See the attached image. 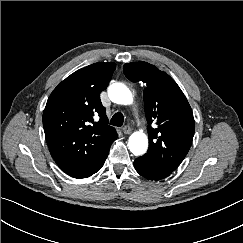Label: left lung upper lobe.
I'll return each mask as SVG.
<instances>
[{
	"mask_svg": "<svg viewBox=\"0 0 243 243\" xmlns=\"http://www.w3.org/2000/svg\"><path fill=\"white\" fill-rule=\"evenodd\" d=\"M124 74L132 82L146 83L144 103L149 149L139 158L173 172L192 144L195 122L191 107L177 83L154 65L126 63ZM153 122L156 126H151Z\"/></svg>",
	"mask_w": 243,
	"mask_h": 243,
	"instance_id": "5c2ea615",
	"label": "left lung upper lobe"
}]
</instances>
